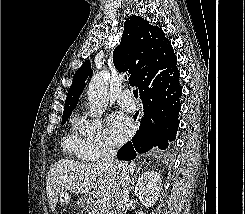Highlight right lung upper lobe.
<instances>
[{"mask_svg":"<svg viewBox=\"0 0 245 214\" xmlns=\"http://www.w3.org/2000/svg\"><path fill=\"white\" fill-rule=\"evenodd\" d=\"M175 59L172 45L162 29L138 16H131L125 21L121 43L113 52V62L119 72L129 71V82L137 86L139 92L153 69ZM89 74L92 70L90 62L86 61L73 77L63 114L71 113L76 107Z\"/></svg>","mask_w":245,"mask_h":214,"instance_id":"cb5924a9","label":"right lung upper lobe"}]
</instances>
